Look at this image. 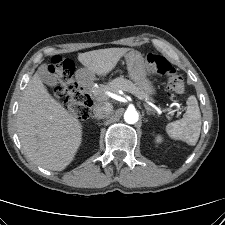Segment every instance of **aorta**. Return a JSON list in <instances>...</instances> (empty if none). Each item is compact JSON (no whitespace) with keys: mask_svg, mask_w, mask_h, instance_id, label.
<instances>
[{"mask_svg":"<svg viewBox=\"0 0 225 225\" xmlns=\"http://www.w3.org/2000/svg\"><path fill=\"white\" fill-rule=\"evenodd\" d=\"M139 119V114L134 108H129L124 113V121L127 124H135Z\"/></svg>","mask_w":225,"mask_h":225,"instance_id":"obj_1","label":"aorta"}]
</instances>
